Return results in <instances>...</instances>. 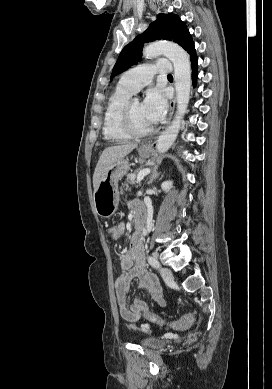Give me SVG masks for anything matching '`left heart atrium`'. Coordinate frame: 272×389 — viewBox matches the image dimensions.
I'll use <instances>...</instances> for the list:
<instances>
[{
	"label": "left heart atrium",
	"instance_id": "39dd6f15",
	"mask_svg": "<svg viewBox=\"0 0 272 389\" xmlns=\"http://www.w3.org/2000/svg\"><path fill=\"white\" fill-rule=\"evenodd\" d=\"M143 111L151 124H155L164 116L167 103L164 93L159 88L150 89L142 102Z\"/></svg>",
	"mask_w": 272,
	"mask_h": 389
}]
</instances>
